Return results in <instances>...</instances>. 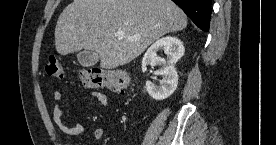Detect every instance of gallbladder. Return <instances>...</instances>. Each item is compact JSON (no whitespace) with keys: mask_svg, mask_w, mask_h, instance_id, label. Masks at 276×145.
<instances>
[{"mask_svg":"<svg viewBox=\"0 0 276 145\" xmlns=\"http://www.w3.org/2000/svg\"><path fill=\"white\" fill-rule=\"evenodd\" d=\"M78 62L83 67H91L99 60V55L93 51H81L77 55Z\"/></svg>","mask_w":276,"mask_h":145,"instance_id":"1","label":"gallbladder"}]
</instances>
